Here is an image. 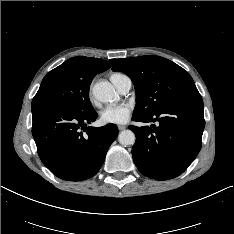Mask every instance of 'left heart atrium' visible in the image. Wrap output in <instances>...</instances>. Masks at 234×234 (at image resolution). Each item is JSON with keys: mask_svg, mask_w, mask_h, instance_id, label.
<instances>
[{"mask_svg": "<svg viewBox=\"0 0 234 234\" xmlns=\"http://www.w3.org/2000/svg\"><path fill=\"white\" fill-rule=\"evenodd\" d=\"M132 109L128 104L108 106L100 113L101 122L104 124H124L131 115Z\"/></svg>", "mask_w": 234, "mask_h": 234, "instance_id": "39dd6f15", "label": "left heart atrium"}]
</instances>
